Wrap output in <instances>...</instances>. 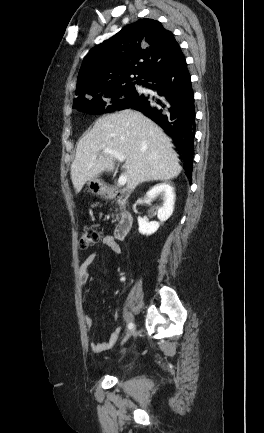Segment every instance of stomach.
<instances>
[{
    "label": "stomach",
    "instance_id": "0dacf381",
    "mask_svg": "<svg viewBox=\"0 0 264 433\" xmlns=\"http://www.w3.org/2000/svg\"><path fill=\"white\" fill-rule=\"evenodd\" d=\"M88 188L89 191L95 195H103L107 192V187L97 178L89 180Z\"/></svg>",
    "mask_w": 264,
    "mask_h": 433
}]
</instances>
